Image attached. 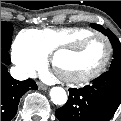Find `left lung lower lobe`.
I'll list each match as a JSON object with an SVG mask.
<instances>
[{
    "instance_id": "0a47b994",
    "label": "left lung lower lobe",
    "mask_w": 121,
    "mask_h": 121,
    "mask_svg": "<svg viewBox=\"0 0 121 121\" xmlns=\"http://www.w3.org/2000/svg\"><path fill=\"white\" fill-rule=\"evenodd\" d=\"M69 92L67 103L56 110L60 121H109L121 103V71H108L90 85Z\"/></svg>"
}]
</instances>
